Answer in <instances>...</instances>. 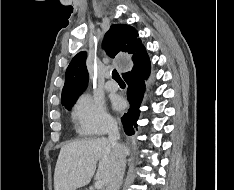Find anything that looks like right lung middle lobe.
<instances>
[{
    "mask_svg": "<svg viewBox=\"0 0 234 190\" xmlns=\"http://www.w3.org/2000/svg\"><path fill=\"white\" fill-rule=\"evenodd\" d=\"M76 100H77V99H76ZM76 100H73V101H70V102L64 103V104H62V105H63L67 110H70V109H71L72 104H74Z\"/></svg>",
    "mask_w": 234,
    "mask_h": 190,
    "instance_id": "obj_1",
    "label": "right lung middle lobe"
}]
</instances>
